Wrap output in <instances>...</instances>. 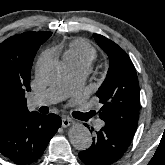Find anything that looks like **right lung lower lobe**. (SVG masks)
<instances>
[{
    "label": "right lung lower lobe",
    "mask_w": 165,
    "mask_h": 165,
    "mask_svg": "<svg viewBox=\"0 0 165 165\" xmlns=\"http://www.w3.org/2000/svg\"><path fill=\"white\" fill-rule=\"evenodd\" d=\"M61 126L59 116L33 112L0 129V153L18 164L39 159Z\"/></svg>",
    "instance_id": "98d812e1"
}]
</instances>
